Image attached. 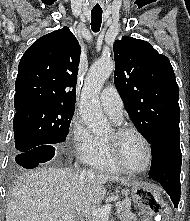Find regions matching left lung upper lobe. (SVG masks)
<instances>
[{
  "mask_svg": "<svg viewBox=\"0 0 190 221\" xmlns=\"http://www.w3.org/2000/svg\"><path fill=\"white\" fill-rule=\"evenodd\" d=\"M114 83L125 108L151 143L180 132L179 88L169 59L146 41L124 36L113 45Z\"/></svg>",
  "mask_w": 190,
  "mask_h": 221,
  "instance_id": "obj_1",
  "label": "left lung upper lobe"
}]
</instances>
